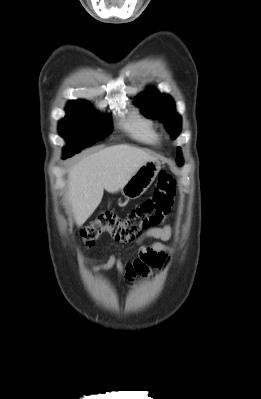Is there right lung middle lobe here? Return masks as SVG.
<instances>
[{
  "instance_id": "1",
  "label": "right lung middle lobe",
  "mask_w": 261,
  "mask_h": 399,
  "mask_svg": "<svg viewBox=\"0 0 261 399\" xmlns=\"http://www.w3.org/2000/svg\"><path fill=\"white\" fill-rule=\"evenodd\" d=\"M66 113L59 122V133L69 143L64 148L63 158L71 157L110 133L111 115L100 114L87 102H70Z\"/></svg>"
}]
</instances>
